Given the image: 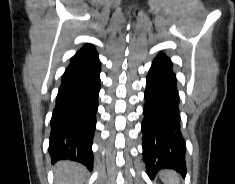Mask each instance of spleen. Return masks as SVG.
<instances>
[{"instance_id":"obj_1","label":"spleen","mask_w":235,"mask_h":184,"mask_svg":"<svg viewBox=\"0 0 235 184\" xmlns=\"http://www.w3.org/2000/svg\"><path fill=\"white\" fill-rule=\"evenodd\" d=\"M163 184H180V178L174 170H161L158 174Z\"/></svg>"}]
</instances>
